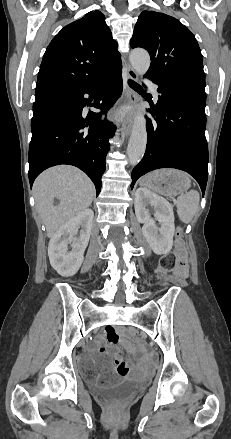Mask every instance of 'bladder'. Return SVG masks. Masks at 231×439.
<instances>
[{
	"mask_svg": "<svg viewBox=\"0 0 231 439\" xmlns=\"http://www.w3.org/2000/svg\"><path fill=\"white\" fill-rule=\"evenodd\" d=\"M78 372L83 378H90L99 371V367L86 356H82L77 364ZM144 382L138 379L120 381L109 387L95 386L94 392L104 399L120 398L135 393L143 386Z\"/></svg>",
	"mask_w": 231,
	"mask_h": 439,
	"instance_id": "31cf9c89",
	"label": "bladder"
}]
</instances>
